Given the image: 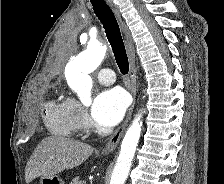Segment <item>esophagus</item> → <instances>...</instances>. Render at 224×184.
I'll return each instance as SVG.
<instances>
[{
    "mask_svg": "<svg viewBox=\"0 0 224 184\" xmlns=\"http://www.w3.org/2000/svg\"><path fill=\"white\" fill-rule=\"evenodd\" d=\"M107 2L109 6L111 7V9L113 10V12L115 13L123 33V39L126 46L128 59H129V78H130L129 90L133 96V102L127 113L125 120L115 130V132L112 134V136L108 140L105 147L102 149V152H101L102 154H108L117 147L129 123V120L131 119V115L133 113L135 103H136V69H135V50H134L133 41L127 26L125 25L124 21L121 18L118 7L112 2V0H107Z\"/></svg>",
    "mask_w": 224,
    "mask_h": 184,
    "instance_id": "1",
    "label": "esophagus"
}]
</instances>
